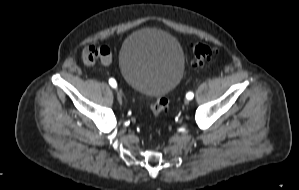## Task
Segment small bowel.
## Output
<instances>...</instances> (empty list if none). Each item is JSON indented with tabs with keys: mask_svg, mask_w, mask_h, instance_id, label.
Returning <instances> with one entry per match:
<instances>
[{
	"mask_svg": "<svg viewBox=\"0 0 299 190\" xmlns=\"http://www.w3.org/2000/svg\"><path fill=\"white\" fill-rule=\"evenodd\" d=\"M91 58V62H87V58ZM84 61L88 64L94 61H100L104 65H110L113 61L111 50L106 46L90 45L84 51Z\"/></svg>",
	"mask_w": 299,
	"mask_h": 190,
	"instance_id": "small-bowel-1",
	"label": "small bowel"
}]
</instances>
